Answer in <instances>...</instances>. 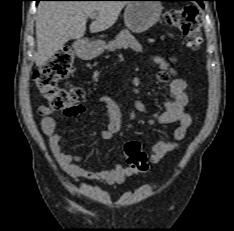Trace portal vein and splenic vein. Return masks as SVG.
<instances>
[{
  "label": "portal vein and splenic vein",
  "mask_w": 234,
  "mask_h": 231,
  "mask_svg": "<svg viewBox=\"0 0 234 231\" xmlns=\"http://www.w3.org/2000/svg\"><path fill=\"white\" fill-rule=\"evenodd\" d=\"M96 17H97V14H96V13H93V14L90 15V18H92V19H94V18H96Z\"/></svg>",
  "instance_id": "18ae733b"
}]
</instances>
